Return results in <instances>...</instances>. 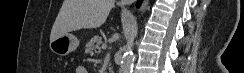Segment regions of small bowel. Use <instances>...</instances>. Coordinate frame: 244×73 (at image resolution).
Instances as JSON below:
<instances>
[{"mask_svg":"<svg viewBox=\"0 0 244 73\" xmlns=\"http://www.w3.org/2000/svg\"><path fill=\"white\" fill-rule=\"evenodd\" d=\"M76 73H87V70L84 66H78L76 68Z\"/></svg>","mask_w":244,"mask_h":73,"instance_id":"small-bowel-1","label":"small bowel"}]
</instances>
